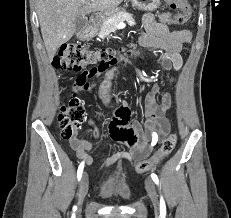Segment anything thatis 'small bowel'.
Listing matches in <instances>:
<instances>
[{
	"mask_svg": "<svg viewBox=\"0 0 231 218\" xmlns=\"http://www.w3.org/2000/svg\"><path fill=\"white\" fill-rule=\"evenodd\" d=\"M145 33L140 37V44L144 47L160 49L163 51L157 58V64L167 71H180L183 65L181 50L183 46L190 42L191 33L188 30L170 31L171 22L170 13H162L156 17L152 13H147L143 18ZM119 59V58H118ZM134 59V58H133ZM118 65V60H103L99 66H90L89 69H80V75L77 76L74 87L78 91H87L91 84L89 79L101 74H117V69H110L111 65ZM173 81V80H172ZM103 90L106 96H109L108 83L105 82ZM161 96V104L157 97ZM171 108V94L161 93L160 87L155 83L151 91L145 97L144 113L146 117V130L151 134L153 131L159 132L160 138L163 137L170 127V121L165 116L168 109ZM130 111L127 103L121 100L120 105L114 109V117L109 122V133L113 139L129 147L128 151H118L106 158L102 167H110L121 160L131 162L134 159H140L148 155L151 150V140L142 135L141 127L137 122L128 124ZM93 135L98 137L96 128L92 129ZM153 136V135H152ZM158 142V141H157ZM71 148L76 152L78 158L93 163V158L88 154L92 144L82 138L76 137L70 142Z\"/></svg>",
	"mask_w": 231,
	"mask_h": 218,
	"instance_id": "1",
	"label": "small bowel"
}]
</instances>
